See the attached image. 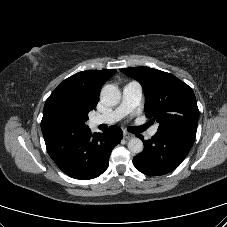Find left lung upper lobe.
<instances>
[{"instance_id": "1", "label": "left lung upper lobe", "mask_w": 227, "mask_h": 227, "mask_svg": "<svg viewBox=\"0 0 227 227\" xmlns=\"http://www.w3.org/2000/svg\"><path fill=\"white\" fill-rule=\"evenodd\" d=\"M145 91V113L159 123L158 130L196 136L199 110L192 89L170 73L149 67L123 68Z\"/></svg>"}]
</instances>
